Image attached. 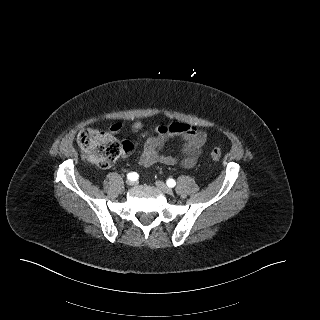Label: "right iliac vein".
<instances>
[{
  "label": "right iliac vein",
  "mask_w": 320,
  "mask_h": 320,
  "mask_svg": "<svg viewBox=\"0 0 320 320\" xmlns=\"http://www.w3.org/2000/svg\"><path fill=\"white\" fill-rule=\"evenodd\" d=\"M126 183L129 185V186H133L135 184L134 181L132 180H127Z\"/></svg>",
  "instance_id": "right-iliac-vein-1"
}]
</instances>
